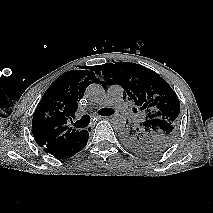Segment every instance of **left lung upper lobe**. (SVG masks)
Returning <instances> with one entry per match:
<instances>
[{
	"mask_svg": "<svg viewBox=\"0 0 213 213\" xmlns=\"http://www.w3.org/2000/svg\"><path fill=\"white\" fill-rule=\"evenodd\" d=\"M104 85H121L135 103L139 120L123 130L124 144L132 152L151 157L166 151L178 134L180 102L170 85L145 66L115 62L96 67ZM128 123V122H127Z\"/></svg>",
	"mask_w": 213,
	"mask_h": 213,
	"instance_id": "left-lung-upper-lobe-1",
	"label": "left lung upper lobe"
}]
</instances>
